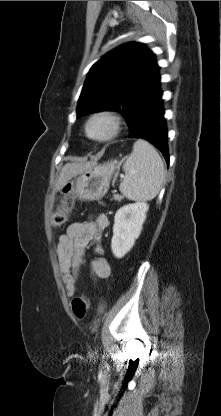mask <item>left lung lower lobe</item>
<instances>
[{"instance_id": "0a47b994", "label": "left lung lower lobe", "mask_w": 221, "mask_h": 416, "mask_svg": "<svg viewBox=\"0 0 221 416\" xmlns=\"http://www.w3.org/2000/svg\"><path fill=\"white\" fill-rule=\"evenodd\" d=\"M160 81L155 88L138 104L133 117L129 138H141L152 143L163 154L169 165L167 126Z\"/></svg>"}]
</instances>
